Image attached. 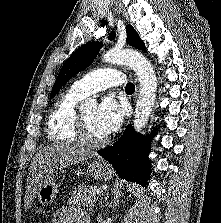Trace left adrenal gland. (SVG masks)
<instances>
[{"mask_svg":"<svg viewBox=\"0 0 221 223\" xmlns=\"http://www.w3.org/2000/svg\"><path fill=\"white\" fill-rule=\"evenodd\" d=\"M107 199H108V196L105 198V202L107 201Z\"/></svg>","mask_w":221,"mask_h":223,"instance_id":"left-adrenal-gland-1","label":"left adrenal gland"}]
</instances>
